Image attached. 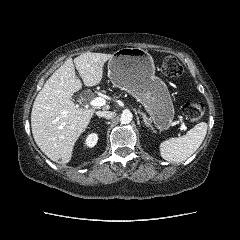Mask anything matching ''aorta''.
<instances>
[{
    "label": "aorta",
    "mask_w": 240,
    "mask_h": 240,
    "mask_svg": "<svg viewBox=\"0 0 240 240\" xmlns=\"http://www.w3.org/2000/svg\"><path fill=\"white\" fill-rule=\"evenodd\" d=\"M133 115L130 111H123L120 116V122L122 124H128L132 121Z\"/></svg>",
    "instance_id": "762f6f07"
}]
</instances>
